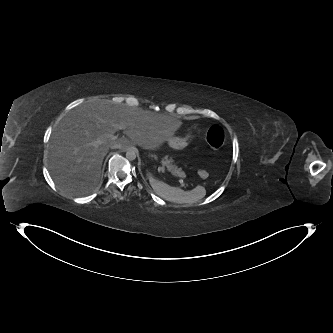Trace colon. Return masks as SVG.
<instances>
[{"mask_svg":"<svg viewBox=\"0 0 333 333\" xmlns=\"http://www.w3.org/2000/svg\"><path fill=\"white\" fill-rule=\"evenodd\" d=\"M205 139L212 149L218 150L223 145L224 132L220 126L212 125L206 130ZM198 175L201 178H205L207 172L205 170H199Z\"/></svg>","mask_w":333,"mask_h":333,"instance_id":"obj_1","label":"colon"}]
</instances>
